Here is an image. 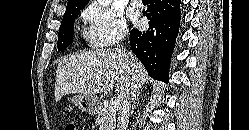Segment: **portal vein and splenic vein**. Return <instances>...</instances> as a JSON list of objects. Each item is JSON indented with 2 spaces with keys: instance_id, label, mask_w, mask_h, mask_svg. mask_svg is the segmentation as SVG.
<instances>
[{
  "instance_id": "obj_1",
  "label": "portal vein and splenic vein",
  "mask_w": 249,
  "mask_h": 130,
  "mask_svg": "<svg viewBox=\"0 0 249 130\" xmlns=\"http://www.w3.org/2000/svg\"><path fill=\"white\" fill-rule=\"evenodd\" d=\"M119 99L118 98H115V99H112L110 101V104H109V109H110V112L112 113H116L120 107V103H119Z\"/></svg>"
}]
</instances>
